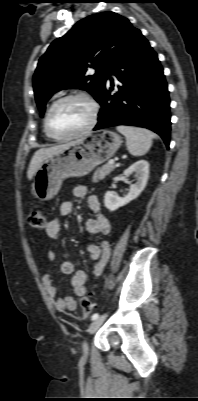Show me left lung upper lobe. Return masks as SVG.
Instances as JSON below:
<instances>
[{"mask_svg": "<svg viewBox=\"0 0 198 401\" xmlns=\"http://www.w3.org/2000/svg\"><path fill=\"white\" fill-rule=\"evenodd\" d=\"M137 30L127 18L103 12L80 20L53 41L33 76L40 115L49 98L62 89L86 90L99 101L113 65ZM89 67L95 72L90 73Z\"/></svg>", "mask_w": 198, "mask_h": 401, "instance_id": "1", "label": "left lung upper lobe"}]
</instances>
